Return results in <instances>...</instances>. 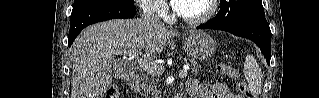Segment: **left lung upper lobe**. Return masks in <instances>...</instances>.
I'll list each match as a JSON object with an SVG mask.
<instances>
[{"label":"left lung upper lobe","instance_id":"5c2ea615","mask_svg":"<svg viewBox=\"0 0 319 98\" xmlns=\"http://www.w3.org/2000/svg\"><path fill=\"white\" fill-rule=\"evenodd\" d=\"M220 11L209 25H235L265 17L261 0H220Z\"/></svg>","mask_w":319,"mask_h":98}]
</instances>
